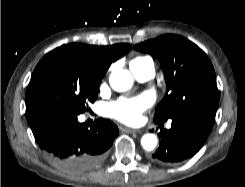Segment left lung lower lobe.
<instances>
[{
    "mask_svg": "<svg viewBox=\"0 0 245 187\" xmlns=\"http://www.w3.org/2000/svg\"><path fill=\"white\" fill-rule=\"evenodd\" d=\"M214 113H193L172 118L170 129L158 134L160 146L151 156L155 163L172 165L182 162L204 145L213 125ZM164 121H155L159 126Z\"/></svg>",
    "mask_w": 245,
    "mask_h": 187,
    "instance_id": "1",
    "label": "left lung lower lobe"
}]
</instances>
